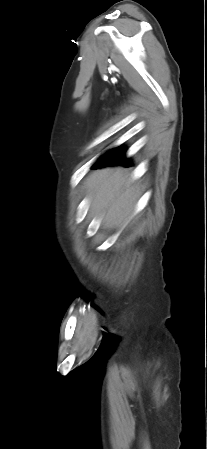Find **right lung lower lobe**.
<instances>
[{"label": "right lung lower lobe", "mask_w": 207, "mask_h": 449, "mask_svg": "<svg viewBox=\"0 0 207 449\" xmlns=\"http://www.w3.org/2000/svg\"><path fill=\"white\" fill-rule=\"evenodd\" d=\"M125 151L121 148H115L105 154L94 166L93 168L104 167L107 165H124L129 166L130 162L128 159L124 158Z\"/></svg>", "instance_id": "1"}]
</instances>
